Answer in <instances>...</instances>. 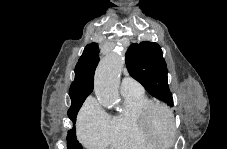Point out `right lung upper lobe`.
I'll list each match as a JSON object with an SVG mask.
<instances>
[{"instance_id": "1", "label": "right lung upper lobe", "mask_w": 227, "mask_h": 149, "mask_svg": "<svg viewBox=\"0 0 227 149\" xmlns=\"http://www.w3.org/2000/svg\"><path fill=\"white\" fill-rule=\"evenodd\" d=\"M98 62V44H88L75 67V79L69 89L72 101L70 109L78 107L81 103L83 104L86 97L93 91L94 73Z\"/></svg>"}]
</instances>
